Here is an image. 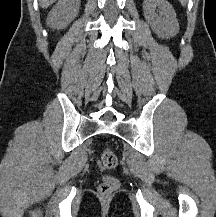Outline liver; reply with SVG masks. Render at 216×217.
Returning a JSON list of instances; mask_svg holds the SVG:
<instances>
[{
	"mask_svg": "<svg viewBox=\"0 0 216 217\" xmlns=\"http://www.w3.org/2000/svg\"><path fill=\"white\" fill-rule=\"evenodd\" d=\"M56 0H39V4L42 8H47L52 5Z\"/></svg>",
	"mask_w": 216,
	"mask_h": 217,
	"instance_id": "liver-1",
	"label": "liver"
}]
</instances>
